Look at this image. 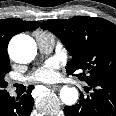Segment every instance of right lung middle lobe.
<instances>
[{
  "mask_svg": "<svg viewBox=\"0 0 116 116\" xmlns=\"http://www.w3.org/2000/svg\"><path fill=\"white\" fill-rule=\"evenodd\" d=\"M10 71V61L0 64V98L7 94L5 88L7 87V82L5 81V75Z\"/></svg>",
  "mask_w": 116,
  "mask_h": 116,
  "instance_id": "obj_1",
  "label": "right lung middle lobe"
}]
</instances>
